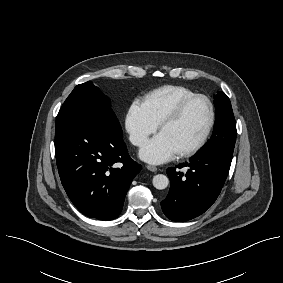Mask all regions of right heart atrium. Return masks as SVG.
I'll return each instance as SVG.
<instances>
[{
    "mask_svg": "<svg viewBox=\"0 0 283 283\" xmlns=\"http://www.w3.org/2000/svg\"><path fill=\"white\" fill-rule=\"evenodd\" d=\"M125 127L131 143L141 146L157 130L158 124L149 116L143 102L135 99L127 110Z\"/></svg>",
    "mask_w": 283,
    "mask_h": 283,
    "instance_id": "d8ad5b80",
    "label": "right heart atrium"
}]
</instances>
